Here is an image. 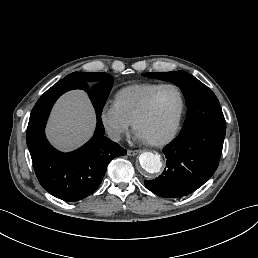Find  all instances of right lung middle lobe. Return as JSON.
I'll list each match as a JSON object with an SVG mask.
<instances>
[{"instance_id":"right-lung-middle-lobe-1","label":"right lung middle lobe","mask_w":258,"mask_h":258,"mask_svg":"<svg viewBox=\"0 0 258 258\" xmlns=\"http://www.w3.org/2000/svg\"><path fill=\"white\" fill-rule=\"evenodd\" d=\"M66 77L78 78L86 82H100V84L97 85L95 89L92 103L95 108L96 114L101 115L102 109L113 85L112 76L108 73L101 72H74Z\"/></svg>"}]
</instances>
